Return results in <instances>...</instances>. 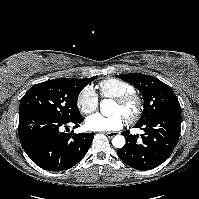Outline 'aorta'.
<instances>
[{
  "instance_id": "aorta-1",
  "label": "aorta",
  "mask_w": 199,
  "mask_h": 199,
  "mask_svg": "<svg viewBox=\"0 0 199 199\" xmlns=\"http://www.w3.org/2000/svg\"><path fill=\"white\" fill-rule=\"evenodd\" d=\"M115 102L111 99H104L101 101L100 103V107H101V113L103 116H110L112 114V112L110 111L109 107L114 106ZM112 144L114 147L116 148H122L125 145V138L122 135H116L113 139H112Z\"/></svg>"
}]
</instances>
